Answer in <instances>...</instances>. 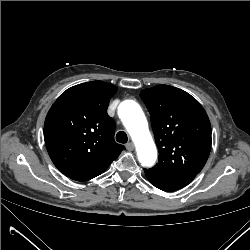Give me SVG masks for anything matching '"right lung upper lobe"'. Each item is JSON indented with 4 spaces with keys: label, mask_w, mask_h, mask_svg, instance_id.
Masks as SVG:
<instances>
[{
    "label": "right lung upper lobe",
    "mask_w": 250,
    "mask_h": 250,
    "mask_svg": "<svg viewBox=\"0 0 250 250\" xmlns=\"http://www.w3.org/2000/svg\"><path fill=\"white\" fill-rule=\"evenodd\" d=\"M117 87L92 81L67 89L50 108L44 140L54 165L77 179L104 171L125 149L114 141L115 121L107 114Z\"/></svg>",
    "instance_id": "obj_1"
}]
</instances>
